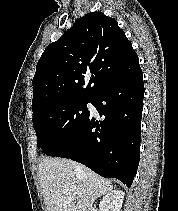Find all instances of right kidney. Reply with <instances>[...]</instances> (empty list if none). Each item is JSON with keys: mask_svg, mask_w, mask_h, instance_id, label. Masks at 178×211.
<instances>
[{"mask_svg": "<svg viewBox=\"0 0 178 211\" xmlns=\"http://www.w3.org/2000/svg\"><path fill=\"white\" fill-rule=\"evenodd\" d=\"M125 193L122 190H113L103 197L99 204L100 211H120Z\"/></svg>", "mask_w": 178, "mask_h": 211, "instance_id": "ca27d5eb", "label": "right kidney"}]
</instances>
